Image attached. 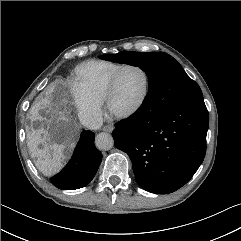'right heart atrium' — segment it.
<instances>
[{"mask_svg": "<svg viewBox=\"0 0 241 241\" xmlns=\"http://www.w3.org/2000/svg\"><path fill=\"white\" fill-rule=\"evenodd\" d=\"M71 96L80 120L88 127L98 126L103 115L101 102L93 99L77 84L72 86Z\"/></svg>", "mask_w": 241, "mask_h": 241, "instance_id": "1", "label": "right heart atrium"}]
</instances>
